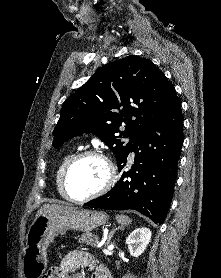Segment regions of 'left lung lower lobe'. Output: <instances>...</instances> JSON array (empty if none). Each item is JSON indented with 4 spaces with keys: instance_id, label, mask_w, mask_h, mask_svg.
<instances>
[{
    "instance_id": "1",
    "label": "left lung lower lobe",
    "mask_w": 221,
    "mask_h": 278,
    "mask_svg": "<svg viewBox=\"0 0 221 278\" xmlns=\"http://www.w3.org/2000/svg\"><path fill=\"white\" fill-rule=\"evenodd\" d=\"M182 125L178 100L133 142L128 153L117 163L121 177L116 186L84 205L109 210L133 209L155 223H164L183 144ZM131 152L135 153L134 164L127 170V157Z\"/></svg>"
}]
</instances>
